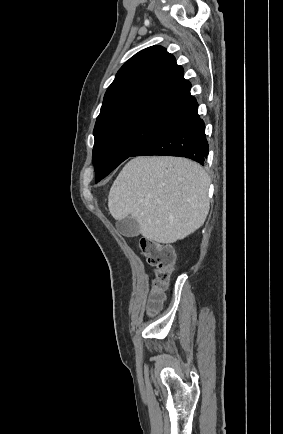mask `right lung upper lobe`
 Instances as JSON below:
<instances>
[{
	"label": "right lung upper lobe",
	"instance_id": "1",
	"mask_svg": "<svg viewBox=\"0 0 283 434\" xmlns=\"http://www.w3.org/2000/svg\"><path fill=\"white\" fill-rule=\"evenodd\" d=\"M183 68L161 46L130 58L108 87L96 124L124 114L148 113L174 120L198 106Z\"/></svg>",
	"mask_w": 283,
	"mask_h": 434
}]
</instances>
